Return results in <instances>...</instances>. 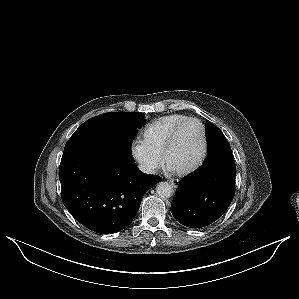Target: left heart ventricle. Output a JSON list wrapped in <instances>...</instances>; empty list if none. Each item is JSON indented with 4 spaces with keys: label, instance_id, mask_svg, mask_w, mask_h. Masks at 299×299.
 <instances>
[{
    "label": "left heart ventricle",
    "instance_id": "1",
    "mask_svg": "<svg viewBox=\"0 0 299 299\" xmlns=\"http://www.w3.org/2000/svg\"><path fill=\"white\" fill-rule=\"evenodd\" d=\"M201 132L197 124L192 123L184 127L178 134L173 148L168 155L169 165L182 170L191 166L200 153Z\"/></svg>",
    "mask_w": 299,
    "mask_h": 299
}]
</instances>
